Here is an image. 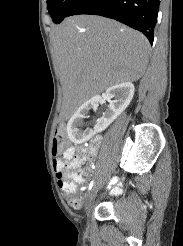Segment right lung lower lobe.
<instances>
[{"label": "right lung lower lobe", "mask_w": 183, "mask_h": 246, "mask_svg": "<svg viewBox=\"0 0 183 246\" xmlns=\"http://www.w3.org/2000/svg\"><path fill=\"white\" fill-rule=\"evenodd\" d=\"M160 0H78L67 16L100 15L142 32L152 44Z\"/></svg>", "instance_id": "98d812e1"}]
</instances>
